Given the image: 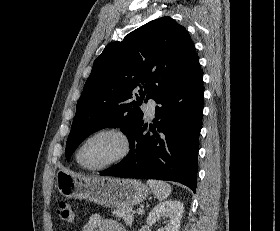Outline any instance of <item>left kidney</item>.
<instances>
[{"label": "left kidney", "instance_id": "5707ae66", "mask_svg": "<svg viewBox=\"0 0 280 231\" xmlns=\"http://www.w3.org/2000/svg\"><path fill=\"white\" fill-rule=\"evenodd\" d=\"M184 207L181 201L177 199H169V201H162L155 205L154 209L150 211L147 217V223L153 225L158 219H163L166 223L165 227H159L157 231H179ZM169 217V219H167Z\"/></svg>", "mask_w": 280, "mask_h": 231}]
</instances>
